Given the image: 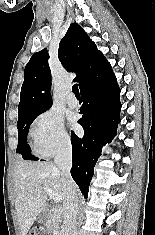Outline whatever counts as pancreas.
<instances>
[{"instance_id": "cf45deb5", "label": "pancreas", "mask_w": 155, "mask_h": 235, "mask_svg": "<svg viewBox=\"0 0 155 235\" xmlns=\"http://www.w3.org/2000/svg\"><path fill=\"white\" fill-rule=\"evenodd\" d=\"M48 230L51 231L54 235H62V230L59 226L58 219L55 218L48 223Z\"/></svg>"}]
</instances>
